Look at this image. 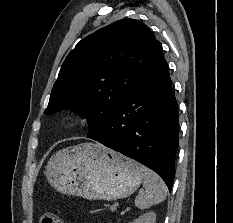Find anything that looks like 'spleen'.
Instances as JSON below:
<instances>
[{
    "label": "spleen",
    "mask_w": 233,
    "mask_h": 223,
    "mask_svg": "<svg viewBox=\"0 0 233 223\" xmlns=\"http://www.w3.org/2000/svg\"><path fill=\"white\" fill-rule=\"evenodd\" d=\"M143 173V187L145 191H140L139 195H137L135 205L140 207V209H147V207H151V205H155V203L164 201L167 195V187L163 179H161L157 173L151 171V169L144 167Z\"/></svg>",
    "instance_id": "obj_1"
}]
</instances>
